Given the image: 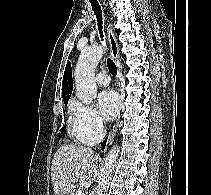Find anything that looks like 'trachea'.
Masks as SVG:
<instances>
[{
    "mask_svg": "<svg viewBox=\"0 0 211 195\" xmlns=\"http://www.w3.org/2000/svg\"><path fill=\"white\" fill-rule=\"evenodd\" d=\"M90 2H91L92 10L94 11V14L96 15V18H97V25H98V30H99L100 37L103 40L104 35H103V31H102L103 21H102V10H101V7H100V5H99V3L97 1H91L90 0ZM107 65H108L109 72L113 76H116L117 75V67H116L115 63L113 62V60L112 59H108Z\"/></svg>",
    "mask_w": 211,
    "mask_h": 195,
    "instance_id": "1",
    "label": "trachea"
}]
</instances>
